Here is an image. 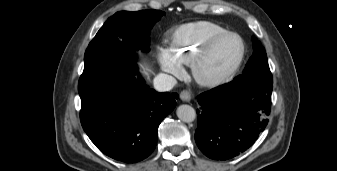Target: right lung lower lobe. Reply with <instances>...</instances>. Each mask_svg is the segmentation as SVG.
Returning a JSON list of instances; mask_svg holds the SVG:
<instances>
[{"mask_svg":"<svg viewBox=\"0 0 337 171\" xmlns=\"http://www.w3.org/2000/svg\"><path fill=\"white\" fill-rule=\"evenodd\" d=\"M78 84L80 120L105 155L126 163L154 150L161 121L174 109L177 93L149 89L136 71V53L126 46L107 47L85 60Z\"/></svg>","mask_w":337,"mask_h":171,"instance_id":"1","label":"right lung lower lobe"}]
</instances>
